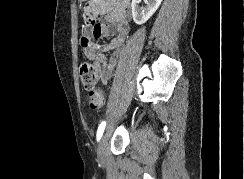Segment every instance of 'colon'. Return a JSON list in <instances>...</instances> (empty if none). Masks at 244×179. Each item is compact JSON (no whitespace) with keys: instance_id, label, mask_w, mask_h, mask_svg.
I'll return each instance as SVG.
<instances>
[{"instance_id":"colon-1","label":"colon","mask_w":244,"mask_h":179,"mask_svg":"<svg viewBox=\"0 0 244 179\" xmlns=\"http://www.w3.org/2000/svg\"><path fill=\"white\" fill-rule=\"evenodd\" d=\"M99 69L96 64L84 61L80 65V80L88 92V105L92 109H101L106 103V94L98 88Z\"/></svg>"}]
</instances>
